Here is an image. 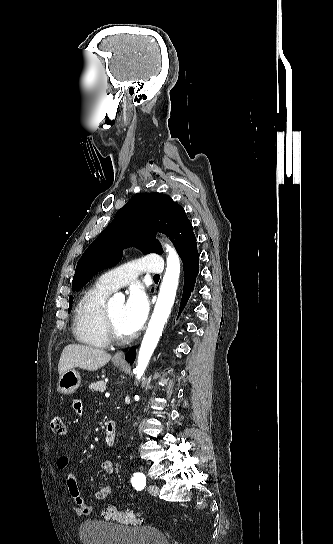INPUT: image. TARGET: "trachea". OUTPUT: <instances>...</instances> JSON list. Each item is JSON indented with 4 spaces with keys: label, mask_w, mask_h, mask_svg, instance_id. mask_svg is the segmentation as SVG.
Returning a JSON list of instances; mask_svg holds the SVG:
<instances>
[{
    "label": "trachea",
    "mask_w": 333,
    "mask_h": 544,
    "mask_svg": "<svg viewBox=\"0 0 333 544\" xmlns=\"http://www.w3.org/2000/svg\"><path fill=\"white\" fill-rule=\"evenodd\" d=\"M154 278H159V275H155Z\"/></svg>",
    "instance_id": "3493384b"
}]
</instances>
